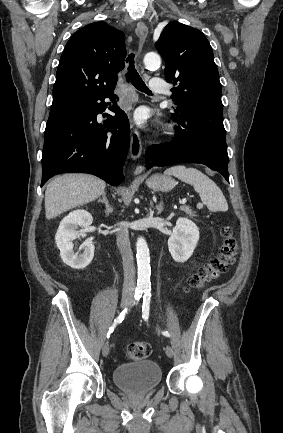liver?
<instances>
[{
  "instance_id": "6515ba94",
  "label": "liver",
  "mask_w": 283,
  "mask_h": 433,
  "mask_svg": "<svg viewBox=\"0 0 283 433\" xmlns=\"http://www.w3.org/2000/svg\"><path fill=\"white\" fill-rule=\"evenodd\" d=\"M106 182L92 174H62L49 182L45 190L46 219L95 200L102 194Z\"/></svg>"
}]
</instances>
